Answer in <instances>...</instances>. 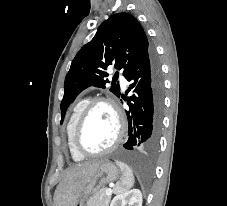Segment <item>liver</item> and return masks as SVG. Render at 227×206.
<instances>
[{"instance_id": "obj_1", "label": "liver", "mask_w": 227, "mask_h": 206, "mask_svg": "<svg viewBox=\"0 0 227 206\" xmlns=\"http://www.w3.org/2000/svg\"><path fill=\"white\" fill-rule=\"evenodd\" d=\"M102 162L103 160L89 161L66 170L55 190V206H74L80 191L95 174Z\"/></svg>"}]
</instances>
